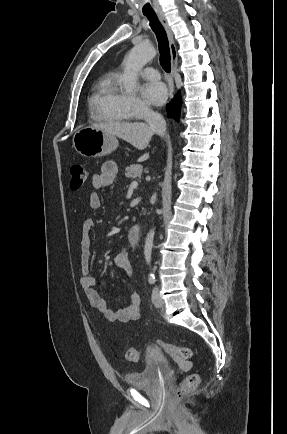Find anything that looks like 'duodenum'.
Returning a JSON list of instances; mask_svg holds the SVG:
<instances>
[{"label":"duodenum","mask_w":287,"mask_h":434,"mask_svg":"<svg viewBox=\"0 0 287 434\" xmlns=\"http://www.w3.org/2000/svg\"><path fill=\"white\" fill-rule=\"evenodd\" d=\"M127 238L131 244H137L140 239V228L137 225H132L127 232Z\"/></svg>","instance_id":"410a0bca"}]
</instances>
